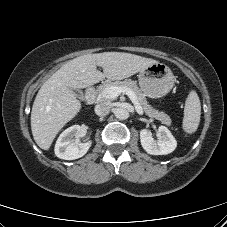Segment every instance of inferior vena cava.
Segmentation results:
<instances>
[{"label": "inferior vena cava", "instance_id": "1", "mask_svg": "<svg viewBox=\"0 0 227 227\" xmlns=\"http://www.w3.org/2000/svg\"><path fill=\"white\" fill-rule=\"evenodd\" d=\"M112 109V103L109 101L100 102L95 106V113L98 116H106Z\"/></svg>", "mask_w": 227, "mask_h": 227}]
</instances>
